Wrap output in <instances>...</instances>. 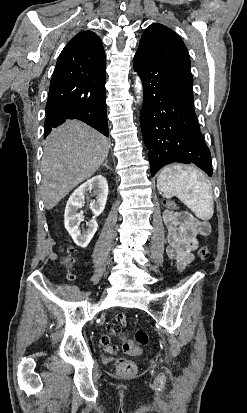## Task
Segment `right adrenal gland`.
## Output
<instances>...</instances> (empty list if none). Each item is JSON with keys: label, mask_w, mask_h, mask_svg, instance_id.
<instances>
[{"label": "right adrenal gland", "mask_w": 247, "mask_h": 413, "mask_svg": "<svg viewBox=\"0 0 247 413\" xmlns=\"http://www.w3.org/2000/svg\"><path fill=\"white\" fill-rule=\"evenodd\" d=\"M102 166H106V168H110V170H112L111 166H108V160H105V162H103Z\"/></svg>", "instance_id": "1"}]
</instances>
